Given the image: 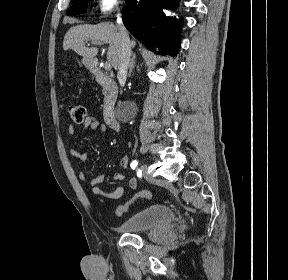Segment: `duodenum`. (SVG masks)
Here are the masks:
<instances>
[{
    "label": "duodenum",
    "mask_w": 288,
    "mask_h": 280,
    "mask_svg": "<svg viewBox=\"0 0 288 280\" xmlns=\"http://www.w3.org/2000/svg\"><path fill=\"white\" fill-rule=\"evenodd\" d=\"M90 72L104 89L103 116L106 124L113 130H119L120 125L116 117L115 106L118 95L116 83L106 75L94 60L89 63Z\"/></svg>",
    "instance_id": "obj_1"
}]
</instances>
